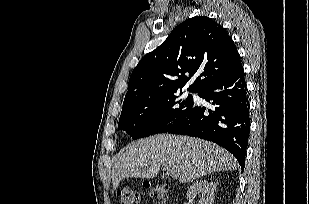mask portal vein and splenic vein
<instances>
[{"instance_id": "portal-vein-and-splenic-vein-1", "label": "portal vein and splenic vein", "mask_w": 309, "mask_h": 204, "mask_svg": "<svg viewBox=\"0 0 309 204\" xmlns=\"http://www.w3.org/2000/svg\"><path fill=\"white\" fill-rule=\"evenodd\" d=\"M166 170H167V172H166L167 175H169L173 178H176L178 176L177 172L174 169H172L171 167H166Z\"/></svg>"}]
</instances>
